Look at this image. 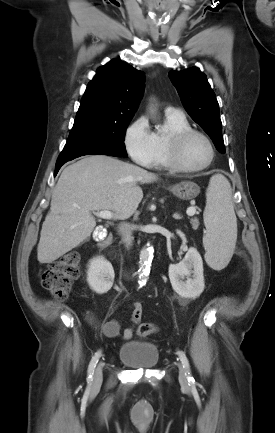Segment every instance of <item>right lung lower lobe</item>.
I'll return each instance as SVG.
<instances>
[{"instance_id":"obj_1","label":"right lung lower lobe","mask_w":275,"mask_h":433,"mask_svg":"<svg viewBox=\"0 0 275 433\" xmlns=\"http://www.w3.org/2000/svg\"><path fill=\"white\" fill-rule=\"evenodd\" d=\"M64 163H66V162L56 163L55 176H56L57 172L59 171V169L61 168V166H62Z\"/></svg>"}]
</instances>
